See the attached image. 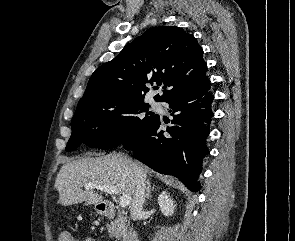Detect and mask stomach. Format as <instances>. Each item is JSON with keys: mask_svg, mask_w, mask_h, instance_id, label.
Segmentation results:
<instances>
[{"mask_svg": "<svg viewBox=\"0 0 295 241\" xmlns=\"http://www.w3.org/2000/svg\"><path fill=\"white\" fill-rule=\"evenodd\" d=\"M95 210L97 211V213L104 212V208H102L101 203L95 204Z\"/></svg>", "mask_w": 295, "mask_h": 241, "instance_id": "obj_1", "label": "stomach"}]
</instances>
